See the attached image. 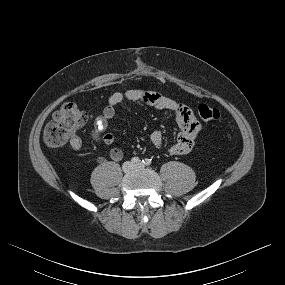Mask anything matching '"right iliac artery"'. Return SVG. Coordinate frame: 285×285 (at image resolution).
Segmentation results:
<instances>
[{"instance_id": "obj_1", "label": "right iliac artery", "mask_w": 285, "mask_h": 285, "mask_svg": "<svg viewBox=\"0 0 285 285\" xmlns=\"http://www.w3.org/2000/svg\"><path fill=\"white\" fill-rule=\"evenodd\" d=\"M131 161H132V163H134V164H138V163L140 162V159H139L138 157H133V158L131 159Z\"/></svg>"}]
</instances>
